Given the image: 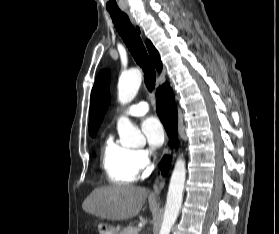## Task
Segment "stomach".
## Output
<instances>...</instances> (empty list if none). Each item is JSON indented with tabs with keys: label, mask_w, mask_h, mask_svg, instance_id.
<instances>
[{
	"label": "stomach",
	"mask_w": 279,
	"mask_h": 234,
	"mask_svg": "<svg viewBox=\"0 0 279 234\" xmlns=\"http://www.w3.org/2000/svg\"><path fill=\"white\" fill-rule=\"evenodd\" d=\"M98 231L100 234H119V230L105 223L98 225Z\"/></svg>",
	"instance_id": "0dacf381"
}]
</instances>
